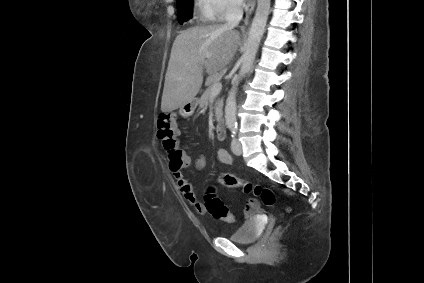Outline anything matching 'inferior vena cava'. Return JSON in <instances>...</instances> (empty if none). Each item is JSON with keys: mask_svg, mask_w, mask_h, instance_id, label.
<instances>
[{"mask_svg": "<svg viewBox=\"0 0 424 283\" xmlns=\"http://www.w3.org/2000/svg\"><path fill=\"white\" fill-rule=\"evenodd\" d=\"M243 15V2L242 0H231L228 3L226 12H225V20L226 26L235 27L239 24Z\"/></svg>", "mask_w": 424, "mask_h": 283, "instance_id": "obj_1", "label": "inferior vena cava"}]
</instances>
